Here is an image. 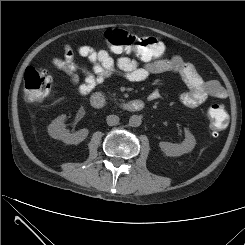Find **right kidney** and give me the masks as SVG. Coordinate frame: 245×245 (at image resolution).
<instances>
[{
	"label": "right kidney",
	"mask_w": 245,
	"mask_h": 245,
	"mask_svg": "<svg viewBox=\"0 0 245 245\" xmlns=\"http://www.w3.org/2000/svg\"><path fill=\"white\" fill-rule=\"evenodd\" d=\"M66 115H61L57 117L52 123L48 126L49 135L54 138L63 141L66 144H79L88 136V129H81L78 132L70 133L65 129L64 121Z\"/></svg>",
	"instance_id": "ca27d5eb"
}]
</instances>
